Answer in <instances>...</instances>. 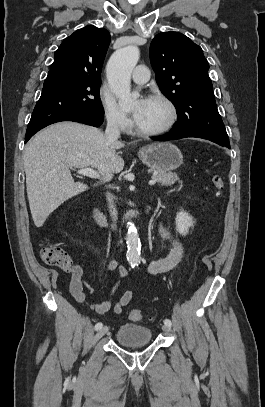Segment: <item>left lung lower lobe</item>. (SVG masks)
I'll use <instances>...</instances> for the list:
<instances>
[{
	"mask_svg": "<svg viewBox=\"0 0 265 407\" xmlns=\"http://www.w3.org/2000/svg\"><path fill=\"white\" fill-rule=\"evenodd\" d=\"M186 137H198V138H203V139H207L210 140L212 142H215L221 146L230 148V144L229 143H222L213 139H210L208 137L205 136H201V135H197V134H193V133H169L166 135H162V136H157V137H153L154 140H158V141H168V140H173V139H180V138H186Z\"/></svg>",
	"mask_w": 265,
	"mask_h": 407,
	"instance_id": "1",
	"label": "left lung lower lobe"
}]
</instances>
